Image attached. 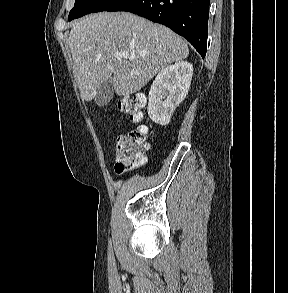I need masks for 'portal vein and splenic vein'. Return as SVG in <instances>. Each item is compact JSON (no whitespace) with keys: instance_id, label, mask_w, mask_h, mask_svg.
<instances>
[{"instance_id":"obj_1","label":"portal vein and splenic vein","mask_w":288,"mask_h":293,"mask_svg":"<svg viewBox=\"0 0 288 293\" xmlns=\"http://www.w3.org/2000/svg\"><path fill=\"white\" fill-rule=\"evenodd\" d=\"M117 57L129 58L130 60H133L135 58V56L133 54L130 55L128 52L119 53V54H117Z\"/></svg>"}]
</instances>
